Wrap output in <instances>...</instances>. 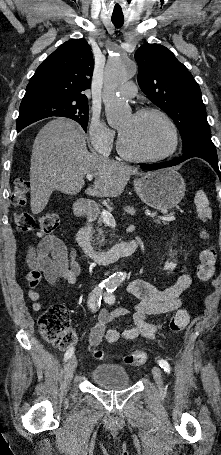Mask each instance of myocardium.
Returning a JSON list of instances; mask_svg holds the SVG:
<instances>
[{"instance_id":"f54148a6","label":"myocardium","mask_w":221,"mask_h":455,"mask_svg":"<svg viewBox=\"0 0 221 455\" xmlns=\"http://www.w3.org/2000/svg\"><path fill=\"white\" fill-rule=\"evenodd\" d=\"M148 115H156V116L160 117L166 123V125L168 126L170 133H171L170 148L167 151H165L161 154H158V155H150V156L136 155L125 149L121 134L119 132L118 140H117V150H118V153L125 159H128L130 161H135V162L152 163V162L162 161V160L172 156L176 152L178 145H179V135H178V130H177V127H176L174 121L170 118V116L167 113H165L164 111H162L158 108H153V107H147V108L140 109L133 114V116H135V117H144V116H148Z\"/></svg>"}]
</instances>
